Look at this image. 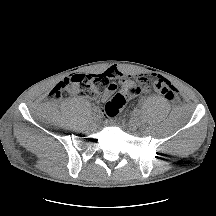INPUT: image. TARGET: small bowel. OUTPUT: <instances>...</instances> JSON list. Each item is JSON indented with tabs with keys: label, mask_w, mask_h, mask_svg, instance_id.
Masks as SVG:
<instances>
[{
	"label": "small bowel",
	"mask_w": 216,
	"mask_h": 216,
	"mask_svg": "<svg viewBox=\"0 0 216 216\" xmlns=\"http://www.w3.org/2000/svg\"><path fill=\"white\" fill-rule=\"evenodd\" d=\"M103 75L107 76L112 81L109 84L108 89L102 94L101 101H107L118 89V84L114 81L117 80L124 87L137 84L143 77H131L116 67H110L106 69ZM141 91V90H140ZM140 91L131 95V98L136 97Z\"/></svg>",
	"instance_id": "1"
}]
</instances>
